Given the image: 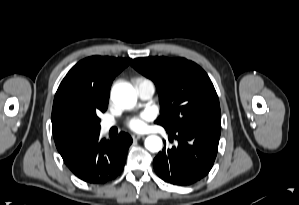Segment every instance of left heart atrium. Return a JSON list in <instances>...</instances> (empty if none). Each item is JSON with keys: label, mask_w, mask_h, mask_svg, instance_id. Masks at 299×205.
I'll return each mask as SVG.
<instances>
[{"label": "left heart atrium", "mask_w": 299, "mask_h": 205, "mask_svg": "<svg viewBox=\"0 0 299 205\" xmlns=\"http://www.w3.org/2000/svg\"><path fill=\"white\" fill-rule=\"evenodd\" d=\"M150 117L149 113H142L141 115L132 117L127 122V126L133 131H142L145 127V121L149 120Z\"/></svg>", "instance_id": "obj_1"}]
</instances>
